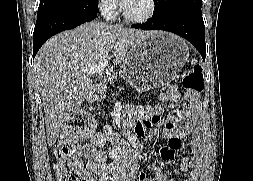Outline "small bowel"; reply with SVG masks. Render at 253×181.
Masks as SVG:
<instances>
[{"label": "small bowel", "mask_w": 253, "mask_h": 181, "mask_svg": "<svg viewBox=\"0 0 253 181\" xmlns=\"http://www.w3.org/2000/svg\"><path fill=\"white\" fill-rule=\"evenodd\" d=\"M159 100L161 103L177 104L184 102L187 109L185 115L179 110H174L162 118V107L160 105L130 108L131 113L138 119L135 127V134L139 137L151 131L153 126L161 124L162 136L167 140V146L162 148L161 154L165 161L173 159L174 153L179 149V140L187 133H193L194 138L191 143V156H185L180 160L179 170L187 172L188 176L184 181H198L201 171V144L200 134L192 128V123L188 118L199 108L197 93L190 91H180L176 87H170L163 92ZM117 135L114 130L106 126L101 131L93 134L87 144L78 145L76 153L87 160V175L91 181H153L145 173L137 174L136 163L132 157L123 150L117 149L108 163V155L101 150L105 142H115ZM155 181H174L168 177L162 167L155 169Z\"/></svg>", "instance_id": "small-bowel-1"}]
</instances>
